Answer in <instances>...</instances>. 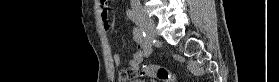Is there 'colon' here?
<instances>
[{
  "mask_svg": "<svg viewBox=\"0 0 279 82\" xmlns=\"http://www.w3.org/2000/svg\"><path fill=\"white\" fill-rule=\"evenodd\" d=\"M144 76L156 78L160 82H175L176 78L174 74L162 65L147 64L139 72ZM125 77V74H121Z\"/></svg>",
  "mask_w": 279,
  "mask_h": 82,
  "instance_id": "obj_1",
  "label": "colon"
}]
</instances>
